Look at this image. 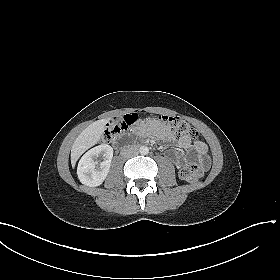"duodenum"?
Masks as SVG:
<instances>
[{"label":"duodenum","instance_id":"410a0bca","mask_svg":"<svg viewBox=\"0 0 280 280\" xmlns=\"http://www.w3.org/2000/svg\"><path fill=\"white\" fill-rule=\"evenodd\" d=\"M116 147L119 148V149L123 148L124 144L121 141H118L117 144H116Z\"/></svg>","mask_w":280,"mask_h":280}]
</instances>
